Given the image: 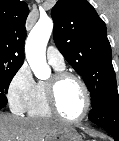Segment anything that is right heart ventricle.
<instances>
[{
	"mask_svg": "<svg viewBox=\"0 0 119 141\" xmlns=\"http://www.w3.org/2000/svg\"><path fill=\"white\" fill-rule=\"evenodd\" d=\"M53 66V65H52ZM56 71L64 70V67L53 66ZM29 117L33 118H50L52 113L48 108L45 95V82L40 81L36 85V91L31 104L27 109Z\"/></svg>",
	"mask_w": 119,
	"mask_h": 141,
	"instance_id": "e07e8e85",
	"label": "right heart ventricle"
}]
</instances>
